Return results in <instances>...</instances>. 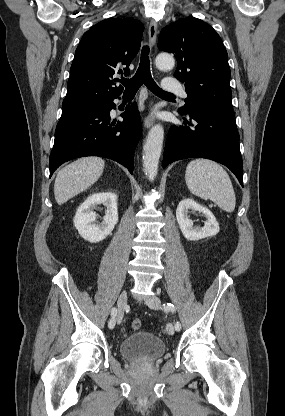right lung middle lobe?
<instances>
[{
  "instance_id": "right-lung-middle-lobe-1",
  "label": "right lung middle lobe",
  "mask_w": 285,
  "mask_h": 416,
  "mask_svg": "<svg viewBox=\"0 0 285 416\" xmlns=\"http://www.w3.org/2000/svg\"><path fill=\"white\" fill-rule=\"evenodd\" d=\"M108 103H103V104H63L62 106V110L63 113L66 112H71V111H78V110H83V109H88V108H93V107H99V106H104L107 105Z\"/></svg>"
}]
</instances>
